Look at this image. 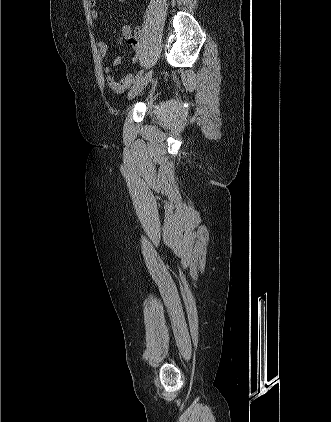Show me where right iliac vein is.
<instances>
[{
    "label": "right iliac vein",
    "mask_w": 331,
    "mask_h": 422,
    "mask_svg": "<svg viewBox=\"0 0 331 422\" xmlns=\"http://www.w3.org/2000/svg\"><path fill=\"white\" fill-rule=\"evenodd\" d=\"M152 78V71L146 73L129 91L128 100L135 98L149 83Z\"/></svg>",
    "instance_id": "63e3f726"
}]
</instances>
